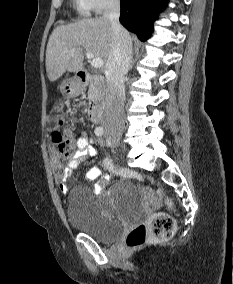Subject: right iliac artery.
<instances>
[{"label": "right iliac artery", "mask_w": 233, "mask_h": 284, "mask_svg": "<svg viewBox=\"0 0 233 284\" xmlns=\"http://www.w3.org/2000/svg\"><path fill=\"white\" fill-rule=\"evenodd\" d=\"M94 132H95V135L99 137L103 135L104 129L103 127H97Z\"/></svg>", "instance_id": "82829eb1"}]
</instances>
